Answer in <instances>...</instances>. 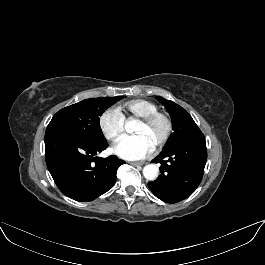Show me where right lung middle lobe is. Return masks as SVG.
Wrapping results in <instances>:
<instances>
[{
    "label": "right lung middle lobe",
    "mask_w": 265,
    "mask_h": 265,
    "mask_svg": "<svg viewBox=\"0 0 265 265\" xmlns=\"http://www.w3.org/2000/svg\"><path fill=\"white\" fill-rule=\"evenodd\" d=\"M124 96L90 98L58 111L47 126V132H71L94 141L104 140L99 125L102 113Z\"/></svg>",
    "instance_id": "dd1d6c3e"
}]
</instances>
